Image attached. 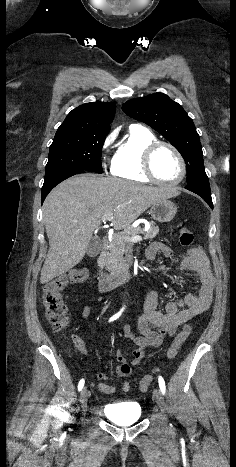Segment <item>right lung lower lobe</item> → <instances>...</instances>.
<instances>
[{
    "label": "right lung lower lobe",
    "instance_id": "1",
    "mask_svg": "<svg viewBox=\"0 0 236 467\" xmlns=\"http://www.w3.org/2000/svg\"><path fill=\"white\" fill-rule=\"evenodd\" d=\"M84 170L81 169H70V170H65L62 172H59L57 174L45 177L44 179V184L42 187V194H41V201L43 203L44 199L48 195V193L51 191L52 188H54L57 184L62 182L63 180L78 174V173H84Z\"/></svg>",
    "mask_w": 236,
    "mask_h": 467
}]
</instances>
